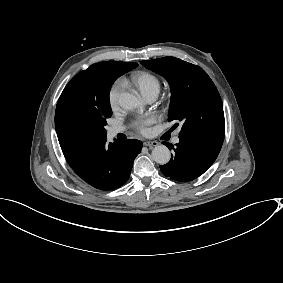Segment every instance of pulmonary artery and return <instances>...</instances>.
Here are the masks:
<instances>
[{"label":"pulmonary artery","mask_w":283,"mask_h":283,"mask_svg":"<svg viewBox=\"0 0 283 283\" xmlns=\"http://www.w3.org/2000/svg\"><path fill=\"white\" fill-rule=\"evenodd\" d=\"M158 93L156 91H149L146 92L142 95V97L148 102L151 103L153 102L156 97H157ZM123 127L121 126H110L107 128V137L108 140H112L117 134L121 133L123 131Z\"/></svg>","instance_id":"e3ab8cb5"}]
</instances>
